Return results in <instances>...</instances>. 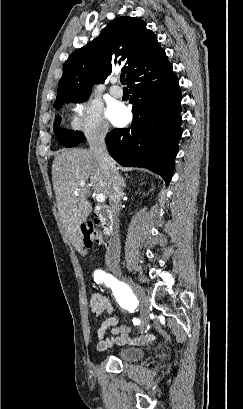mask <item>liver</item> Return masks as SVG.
<instances>
[{
  "label": "liver",
  "instance_id": "obj_1",
  "mask_svg": "<svg viewBox=\"0 0 243 409\" xmlns=\"http://www.w3.org/2000/svg\"><path fill=\"white\" fill-rule=\"evenodd\" d=\"M56 203L66 235L76 249L82 245L80 226L91 214L87 200L92 191L109 197V186L100 162L82 148L63 150L52 164ZM78 191V195L74 192Z\"/></svg>",
  "mask_w": 243,
  "mask_h": 409
}]
</instances>
